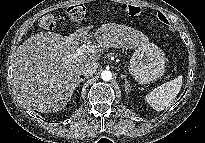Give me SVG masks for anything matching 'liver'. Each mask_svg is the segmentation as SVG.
I'll return each mask as SVG.
<instances>
[{
  "mask_svg": "<svg viewBox=\"0 0 205 143\" xmlns=\"http://www.w3.org/2000/svg\"><path fill=\"white\" fill-rule=\"evenodd\" d=\"M93 26L81 27L69 36L54 32L32 35L17 47L13 59V86L20 103L39 112H57L71 100L82 68L100 58L98 51L75 53L79 40ZM97 42L105 47L132 49L148 43L142 32L115 23L102 24L94 31Z\"/></svg>",
  "mask_w": 205,
  "mask_h": 143,
  "instance_id": "obj_1",
  "label": "liver"
}]
</instances>
